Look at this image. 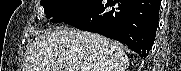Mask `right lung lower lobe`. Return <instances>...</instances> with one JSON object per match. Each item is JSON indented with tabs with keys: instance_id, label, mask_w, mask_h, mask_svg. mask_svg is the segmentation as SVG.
Segmentation results:
<instances>
[{
	"instance_id": "1",
	"label": "right lung lower lobe",
	"mask_w": 181,
	"mask_h": 71,
	"mask_svg": "<svg viewBox=\"0 0 181 71\" xmlns=\"http://www.w3.org/2000/svg\"><path fill=\"white\" fill-rule=\"evenodd\" d=\"M161 0H95L64 23L125 43L148 56L156 36Z\"/></svg>"
}]
</instances>
